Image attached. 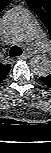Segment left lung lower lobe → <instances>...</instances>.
Instances as JSON below:
<instances>
[{"instance_id": "obj_1", "label": "left lung lower lobe", "mask_w": 51, "mask_h": 153, "mask_svg": "<svg viewBox=\"0 0 51 153\" xmlns=\"http://www.w3.org/2000/svg\"><path fill=\"white\" fill-rule=\"evenodd\" d=\"M40 80L43 82L44 85L51 88V76L41 77Z\"/></svg>"}]
</instances>
